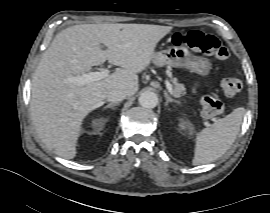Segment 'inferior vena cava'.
<instances>
[{
    "label": "inferior vena cava",
    "mask_w": 270,
    "mask_h": 213,
    "mask_svg": "<svg viewBox=\"0 0 270 213\" xmlns=\"http://www.w3.org/2000/svg\"><path fill=\"white\" fill-rule=\"evenodd\" d=\"M126 97H127V93L125 91L120 90V89H115L108 94L107 100L112 103H119L123 101Z\"/></svg>",
    "instance_id": "obj_1"
}]
</instances>
